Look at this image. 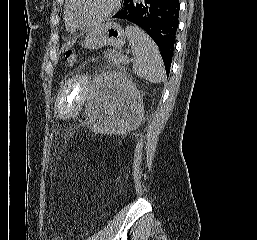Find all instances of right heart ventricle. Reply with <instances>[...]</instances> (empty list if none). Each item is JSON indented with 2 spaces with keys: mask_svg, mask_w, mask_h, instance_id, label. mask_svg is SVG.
<instances>
[{
  "mask_svg": "<svg viewBox=\"0 0 257 240\" xmlns=\"http://www.w3.org/2000/svg\"><path fill=\"white\" fill-rule=\"evenodd\" d=\"M65 22H66V28L69 32L76 31V28L68 21L66 13H65Z\"/></svg>",
  "mask_w": 257,
  "mask_h": 240,
  "instance_id": "obj_1",
  "label": "right heart ventricle"
}]
</instances>
